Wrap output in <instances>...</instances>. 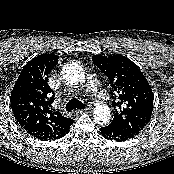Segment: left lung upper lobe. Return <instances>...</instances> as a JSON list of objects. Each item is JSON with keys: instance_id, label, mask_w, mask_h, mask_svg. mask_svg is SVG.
Returning <instances> with one entry per match:
<instances>
[{"instance_id": "5c2ea615", "label": "left lung upper lobe", "mask_w": 174, "mask_h": 174, "mask_svg": "<svg viewBox=\"0 0 174 174\" xmlns=\"http://www.w3.org/2000/svg\"><path fill=\"white\" fill-rule=\"evenodd\" d=\"M93 63L110 81L113 120L110 126L139 134L148 124L153 109V92L140 69L128 58L116 54L92 56Z\"/></svg>"}]
</instances>
